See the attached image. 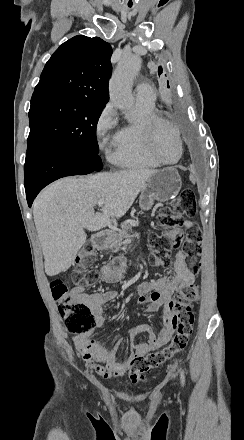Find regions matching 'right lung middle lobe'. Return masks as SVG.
Instances as JSON below:
<instances>
[{
	"mask_svg": "<svg viewBox=\"0 0 244 440\" xmlns=\"http://www.w3.org/2000/svg\"><path fill=\"white\" fill-rule=\"evenodd\" d=\"M104 107L90 100L31 101L27 145L50 143L98 155L96 126Z\"/></svg>",
	"mask_w": 244,
	"mask_h": 440,
	"instance_id": "obj_1",
	"label": "right lung middle lobe"
}]
</instances>
